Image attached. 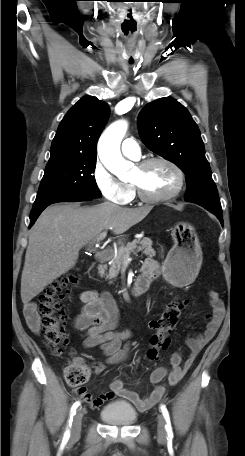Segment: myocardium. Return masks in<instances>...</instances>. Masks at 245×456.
<instances>
[{"label":"myocardium","instance_id":"myocardium-1","mask_svg":"<svg viewBox=\"0 0 245 456\" xmlns=\"http://www.w3.org/2000/svg\"><path fill=\"white\" fill-rule=\"evenodd\" d=\"M155 163H164L168 165L176 174L177 176V184L175 188L168 194L163 195V196H151L148 195L143 188L135 183L132 182V186L137 193L138 197L146 203H161V202H166L169 200H172L173 198L177 197L181 191L183 190L184 184H185V175L183 170L172 160L165 158V157H151L147 158L137 164V168L140 170H144L151 166L152 164Z\"/></svg>","mask_w":245,"mask_h":456}]
</instances>
